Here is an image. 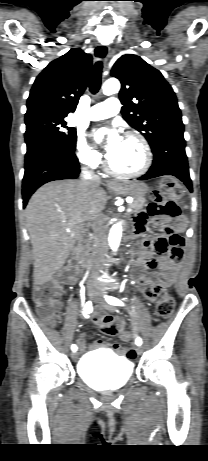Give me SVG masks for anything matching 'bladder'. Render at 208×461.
I'll return each instance as SVG.
<instances>
[{"instance_id": "31cf9c89", "label": "bladder", "mask_w": 208, "mask_h": 461, "mask_svg": "<svg viewBox=\"0 0 208 461\" xmlns=\"http://www.w3.org/2000/svg\"><path fill=\"white\" fill-rule=\"evenodd\" d=\"M133 370L130 360L108 351L90 353L78 362L80 378L99 391L116 390L129 382Z\"/></svg>"}]
</instances>
